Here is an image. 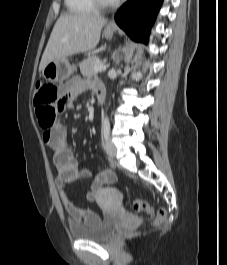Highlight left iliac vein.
<instances>
[{"instance_id":"left-iliac-vein-1","label":"left iliac vein","mask_w":227,"mask_h":265,"mask_svg":"<svg viewBox=\"0 0 227 265\" xmlns=\"http://www.w3.org/2000/svg\"><path fill=\"white\" fill-rule=\"evenodd\" d=\"M105 147H106L107 153H108L111 157H115V156H116L117 149H116L115 144L111 141L110 138H107V139H106Z\"/></svg>"}]
</instances>
